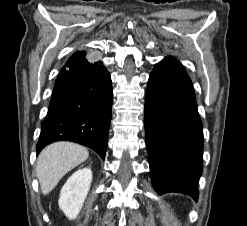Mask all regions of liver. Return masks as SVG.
<instances>
[{"label":"liver","mask_w":247,"mask_h":226,"mask_svg":"<svg viewBox=\"0 0 247 226\" xmlns=\"http://www.w3.org/2000/svg\"><path fill=\"white\" fill-rule=\"evenodd\" d=\"M89 156L85 147L71 142H56L43 149L37 159L36 175L44 195L50 193L61 178Z\"/></svg>","instance_id":"liver-1"}]
</instances>
